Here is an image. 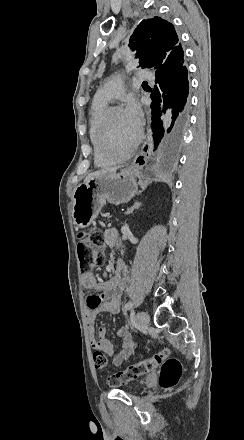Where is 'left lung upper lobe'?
I'll return each mask as SVG.
<instances>
[{
	"label": "left lung upper lobe",
	"mask_w": 244,
	"mask_h": 440,
	"mask_svg": "<svg viewBox=\"0 0 244 440\" xmlns=\"http://www.w3.org/2000/svg\"><path fill=\"white\" fill-rule=\"evenodd\" d=\"M129 41L131 49L137 51L142 68L157 70L183 58L173 24L160 17L142 20Z\"/></svg>",
	"instance_id": "left-lung-upper-lobe-1"
}]
</instances>
